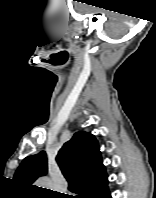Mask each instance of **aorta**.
Listing matches in <instances>:
<instances>
[{
	"mask_svg": "<svg viewBox=\"0 0 156 198\" xmlns=\"http://www.w3.org/2000/svg\"><path fill=\"white\" fill-rule=\"evenodd\" d=\"M41 186H43V188H45L46 186L49 185V182L47 179H42L39 183ZM45 186V187H44Z\"/></svg>",
	"mask_w": 156,
	"mask_h": 198,
	"instance_id": "obj_1",
	"label": "aorta"
}]
</instances>
